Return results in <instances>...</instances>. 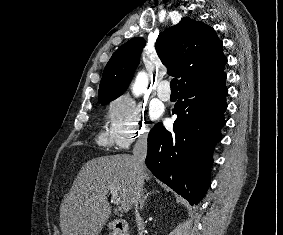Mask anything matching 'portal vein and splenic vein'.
<instances>
[{
  "label": "portal vein and splenic vein",
  "mask_w": 283,
  "mask_h": 235,
  "mask_svg": "<svg viewBox=\"0 0 283 235\" xmlns=\"http://www.w3.org/2000/svg\"><path fill=\"white\" fill-rule=\"evenodd\" d=\"M110 194H111L112 202L115 205L119 206L121 200H120L119 194L117 192V189L114 188V187L110 188Z\"/></svg>",
  "instance_id": "obj_1"
}]
</instances>
